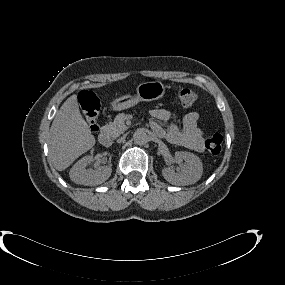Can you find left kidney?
<instances>
[{"mask_svg":"<svg viewBox=\"0 0 285 285\" xmlns=\"http://www.w3.org/2000/svg\"><path fill=\"white\" fill-rule=\"evenodd\" d=\"M178 161L184 160L180 172H175L173 168L167 167L162 170L163 177L173 185H191L196 183L202 176L203 166L199 157L186 151L175 153Z\"/></svg>","mask_w":285,"mask_h":285,"instance_id":"1","label":"left kidney"}]
</instances>
